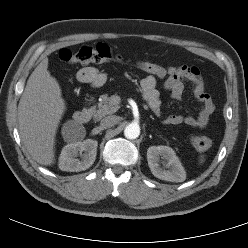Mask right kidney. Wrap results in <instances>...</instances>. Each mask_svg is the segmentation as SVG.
<instances>
[{
  "label": "right kidney",
  "mask_w": 248,
  "mask_h": 248,
  "mask_svg": "<svg viewBox=\"0 0 248 248\" xmlns=\"http://www.w3.org/2000/svg\"><path fill=\"white\" fill-rule=\"evenodd\" d=\"M97 146L98 142L92 139L67 144L61 151L59 168L67 172H79L88 169L96 159ZM79 154L81 160L77 159Z\"/></svg>",
  "instance_id": "obj_1"
}]
</instances>
